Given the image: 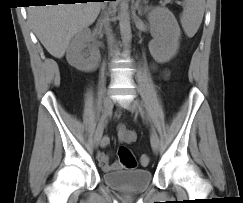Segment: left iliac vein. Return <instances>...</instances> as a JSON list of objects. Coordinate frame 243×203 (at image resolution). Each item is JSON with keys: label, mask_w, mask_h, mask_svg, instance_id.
Returning a JSON list of instances; mask_svg holds the SVG:
<instances>
[{"label": "left iliac vein", "mask_w": 243, "mask_h": 203, "mask_svg": "<svg viewBox=\"0 0 243 203\" xmlns=\"http://www.w3.org/2000/svg\"><path fill=\"white\" fill-rule=\"evenodd\" d=\"M125 108L130 112L141 113L138 103L133 99L125 103ZM150 142L152 149L157 152L159 150V137L155 130L151 131Z\"/></svg>", "instance_id": "1"}]
</instances>
